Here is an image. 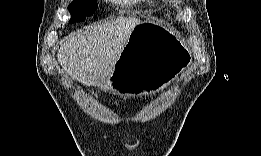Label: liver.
Returning <instances> with one entry per match:
<instances>
[{
	"instance_id": "6515ba94",
	"label": "liver",
	"mask_w": 261,
	"mask_h": 156,
	"mask_svg": "<svg viewBox=\"0 0 261 156\" xmlns=\"http://www.w3.org/2000/svg\"><path fill=\"white\" fill-rule=\"evenodd\" d=\"M140 23L136 17H118L73 32L58 49V62L73 80L100 86L114 73L131 32Z\"/></svg>"
}]
</instances>
